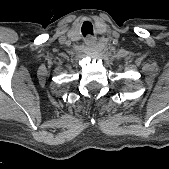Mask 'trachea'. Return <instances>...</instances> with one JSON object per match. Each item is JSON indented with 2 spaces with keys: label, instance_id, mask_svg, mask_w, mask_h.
<instances>
[{
  "label": "trachea",
  "instance_id": "1",
  "mask_svg": "<svg viewBox=\"0 0 169 169\" xmlns=\"http://www.w3.org/2000/svg\"><path fill=\"white\" fill-rule=\"evenodd\" d=\"M81 32L84 37L93 35V26L89 21H85L82 25Z\"/></svg>",
  "mask_w": 169,
  "mask_h": 169
}]
</instances>
